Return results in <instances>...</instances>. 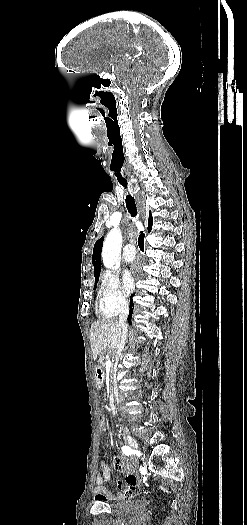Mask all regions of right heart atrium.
<instances>
[{
    "label": "right heart atrium",
    "mask_w": 247,
    "mask_h": 525,
    "mask_svg": "<svg viewBox=\"0 0 247 525\" xmlns=\"http://www.w3.org/2000/svg\"><path fill=\"white\" fill-rule=\"evenodd\" d=\"M98 305L104 315L114 316L127 306V294L123 291L119 276L112 270L104 271L100 276Z\"/></svg>",
    "instance_id": "obj_1"
}]
</instances>
